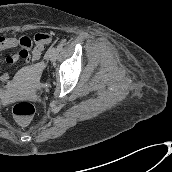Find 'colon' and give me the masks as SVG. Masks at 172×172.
<instances>
[{
  "instance_id": "5ec220e1",
  "label": "colon",
  "mask_w": 172,
  "mask_h": 172,
  "mask_svg": "<svg viewBox=\"0 0 172 172\" xmlns=\"http://www.w3.org/2000/svg\"><path fill=\"white\" fill-rule=\"evenodd\" d=\"M43 41H51L52 35L50 33H43L40 37ZM15 119L20 124H27L35 113V108L30 102L21 101L16 103L12 109Z\"/></svg>"
}]
</instances>
